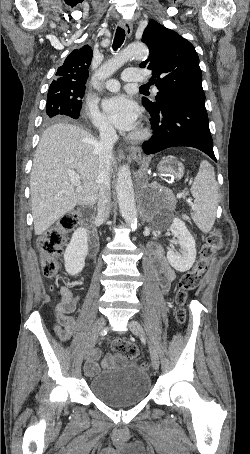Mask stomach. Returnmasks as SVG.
I'll list each match as a JSON object with an SVG mask.
<instances>
[{"label":"stomach","mask_w":250,"mask_h":454,"mask_svg":"<svg viewBox=\"0 0 250 454\" xmlns=\"http://www.w3.org/2000/svg\"><path fill=\"white\" fill-rule=\"evenodd\" d=\"M159 172L165 178L179 179L182 177L184 173V168L183 165L180 162L176 161L175 159L166 158L159 163Z\"/></svg>","instance_id":"1"}]
</instances>
